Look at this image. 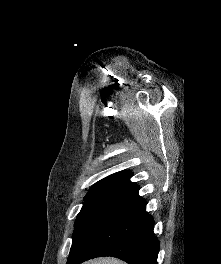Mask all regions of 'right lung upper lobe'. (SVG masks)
Wrapping results in <instances>:
<instances>
[{"mask_svg":"<svg viewBox=\"0 0 221 264\" xmlns=\"http://www.w3.org/2000/svg\"><path fill=\"white\" fill-rule=\"evenodd\" d=\"M131 176H132V172L130 171H120L114 173L95 183L90 189V191L98 190V189L127 190L132 186L136 185L135 183L130 181Z\"/></svg>","mask_w":221,"mask_h":264,"instance_id":"obj_1","label":"right lung upper lobe"}]
</instances>
